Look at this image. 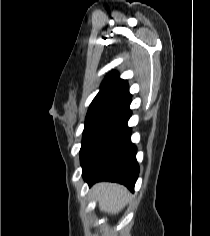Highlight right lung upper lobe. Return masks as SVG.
<instances>
[{"label": "right lung upper lobe", "mask_w": 210, "mask_h": 236, "mask_svg": "<svg viewBox=\"0 0 210 236\" xmlns=\"http://www.w3.org/2000/svg\"><path fill=\"white\" fill-rule=\"evenodd\" d=\"M128 92L126 80L120 79L117 72L110 73L101 85V90L94 98L93 102L99 100H108L115 97L120 92Z\"/></svg>", "instance_id": "1"}]
</instances>
